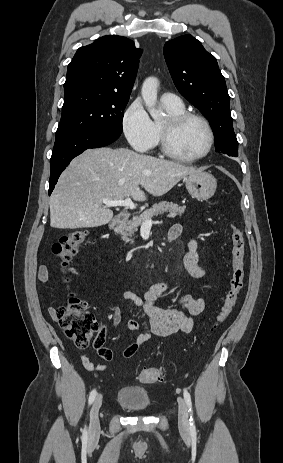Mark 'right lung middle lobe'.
Instances as JSON below:
<instances>
[{"instance_id":"dd1d6c3e","label":"right lung middle lobe","mask_w":283,"mask_h":463,"mask_svg":"<svg viewBox=\"0 0 283 463\" xmlns=\"http://www.w3.org/2000/svg\"><path fill=\"white\" fill-rule=\"evenodd\" d=\"M129 98L83 91L64 98L56 138L82 132L102 131L120 135Z\"/></svg>"}]
</instances>
